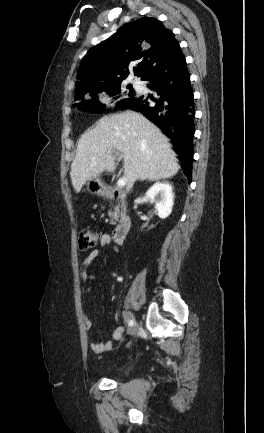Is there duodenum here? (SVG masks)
Wrapping results in <instances>:
<instances>
[{"instance_id": "obj_1", "label": "duodenum", "mask_w": 264, "mask_h": 433, "mask_svg": "<svg viewBox=\"0 0 264 433\" xmlns=\"http://www.w3.org/2000/svg\"><path fill=\"white\" fill-rule=\"evenodd\" d=\"M124 195L120 192H110L109 197L114 198H122ZM132 220L131 217L128 215H125L120 222L117 224L116 228L112 232V238L115 242L121 243L126 235L128 234L130 228H131Z\"/></svg>"}]
</instances>
